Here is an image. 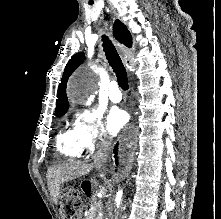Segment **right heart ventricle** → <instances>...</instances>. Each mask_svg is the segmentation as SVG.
<instances>
[{"mask_svg":"<svg viewBox=\"0 0 221 219\" xmlns=\"http://www.w3.org/2000/svg\"><path fill=\"white\" fill-rule=\"evenodd\" d=\"M57 149L66 158H76L82 154L73 128L66 129L58 135Z\"/></svg>","mask_w":221,"mask_h":219,"instance_id":"e07e8e85","label":"right heart ventricle"}]
</instances>
